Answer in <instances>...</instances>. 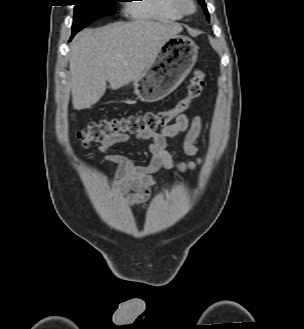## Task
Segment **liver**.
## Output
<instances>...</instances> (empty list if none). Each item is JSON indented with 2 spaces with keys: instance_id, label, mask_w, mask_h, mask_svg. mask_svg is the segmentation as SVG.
<instances>
[{
  "instance_id": "1",
  "label": "liver",
  "mask_w": 304,
  "mask_h": 329,
  "mask_svg": "<svg viewBox=\"0 0 304 329\" xmlns=\"http://www.w3.org/2000/svg\"><path fill=\"white\" fill-rule=\"evenodd\" d=\"M182 31L178 23L137 20L84 29L71 44L69 68L76 110L96 104L106 91L136 81L168 38Z\"/></svg>"
}]
</instances>
